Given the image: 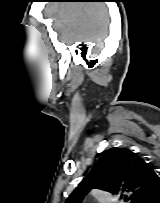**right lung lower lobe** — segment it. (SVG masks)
I'll return each instance as SVG.
<instances>
[{
    "label": "right lung lower lobe",
    "mask_w": 160,
    "mask_h": 203,
    "mask_svg": "<svg viewBox=\"0 0 160 203\" xmlns=\"http://www.w3.org/2000/svg\"><path fill=\"white\" fill-rule=\"evenodd\" d=\"M149 203H160V194H158L154 199H152Z\"/></svg>",
    "instance_id": "right-lung-lower-lobe-1"
}]
</instances>
